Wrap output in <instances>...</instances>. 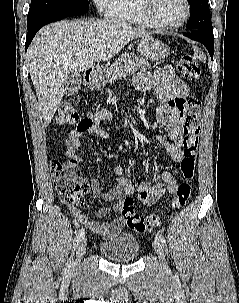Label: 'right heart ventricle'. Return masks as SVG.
Here are the masks:
<instances>
[{
	"instance_id": "obj_1",
	"label": "right heart ventricle",
	"mask_w": 239,
	"mask_h": 303,
	"mask_svg": "<svg viewBox=\"0 0 239 303\" xmlns=\"http://www.w3.org/2000/svg\"><path fill=\"white\" fill-rule=\"evenodd\" d=\"M113 19L141 27L150 26L139 13L136 0H119Z\"/></svg>"
}]
</instances>
